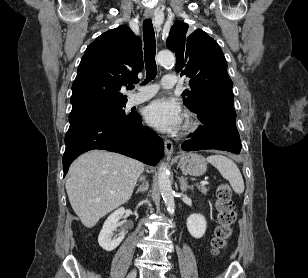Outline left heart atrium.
I'll return each instance as SVG.
<instances>
[{"mask_svg": "<svg viewBox=\"0 0 308 278\" xmlns=\"http://www.w3.org/2000/svg\"><path fill=\"white\" fill-rule=\"evenodd\" d=\"M146 122L165 132H171L180 127L184 120L181 106L170 99H157L151 102L144 112Z\"/></svg>", "mask_w": 308, "mask_h": 278, "instance_id": "left-heart-atrium-1", "label": "left heart atrium"}]
</instances>
